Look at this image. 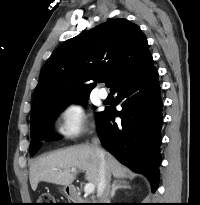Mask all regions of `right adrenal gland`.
I'll return each mask as SVG.
<instances>
[{
  "mask_svg": "<svg viewBox=\"0 0 200 205\" xmlns=\"http://www.w3.org/2000/svg\"><path fill=\"white\" fill-rule=\"evenodd\" d=\"M131 187L128 185L126 181H119L115 180L112 183L111 186V193H110V198H113L115 196V192L118 189H130Z\"/></svg>",
  "mask_w": 200,
  "mask_h": 205,
  "instance_id": "1",
  "label": "right adrenal gland"
}]
</instances>
